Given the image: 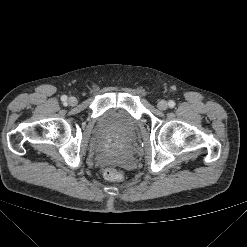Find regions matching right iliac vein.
Wrapping results in <instances>:
<instances>
[{
    "label": "right iliac vein",
    "instance_id": "63e3f726",
    "mask_svg": "<svg viewBox=\"0 0 247 247\" xmlns=\"http://www.w3.org/2000/svg\"><path fill=\"white\" fill-rule=\"evenodd\" d=\"M68 103H69V105H71V106H75V105L77 104V99H76L75 97H70V98L68 99Z\"/></svg>",
    "mask_w": 247,
    "mask_h": 247
}]
</instances>
